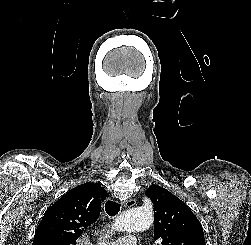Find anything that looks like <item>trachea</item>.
I'll return each mask as SVG.
<instances>
[{
    "label": "trachea",
    "instance_id": "3493384b",
    "mask_svg": "<svg viewBox=\"0 0 251 245\" xmlns=\"http://www.w3.org/2000/svg\"><path fill=\"white\" fill-rule=\"evenodd\" d=\"M105 210L109 216H115L120 211V204L115 201H107L105 204Z\"/></svg>",
    "mask_w": 251,
    "mask_h": 245
}]
</instances>
